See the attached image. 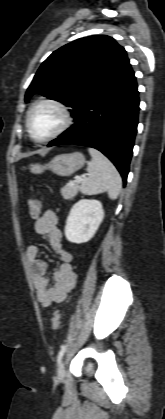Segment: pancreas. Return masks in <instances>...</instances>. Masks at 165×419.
Wrapping results in <instances>:
<instances>
[{"instance_id":"pancreas-1","label":"pancreas","mask_w":165,"mask_h":419,"mask_svg":"<svg viewBox=\"0 0 165 419\" xmlns=\"http://www.w3.org/2000/svg\"><path fill=\"white\" fill-rule=\"evenodd\" d=\"M79 189L78 183L66 184L61 189V195L66 200H72L78 194Z\"/></svg>"}]
</instances>
